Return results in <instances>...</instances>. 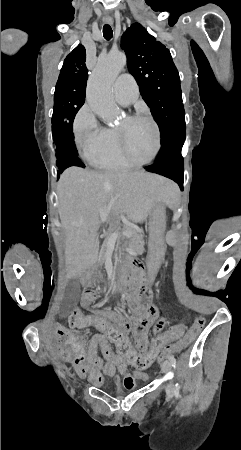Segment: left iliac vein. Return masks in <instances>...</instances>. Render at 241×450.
Masks as SVG:
<instances>
[{"label":"left iliac vein","mask_w":241,"mask_h":450,"mask_svg":"<svg viewBox=\"0 0 241 450\" xmlns=\"http://www.w3.org/2000/svg\"><path fill=\"white\" fill-rule=\"evenodd\" d=\"M162 370L167 376L170 375L171 364L169 361H165L163 363ZM174 392H175L174 385H173L172 381H169L166 386V393L169 397H172L174 395Z\"/></svg>","instance_id":"1"}]
</instances>
